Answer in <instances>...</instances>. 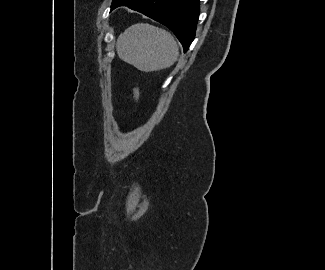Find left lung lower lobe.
Returning a JSON list of instances; mask_svg holds the SVG:
<instances>
[{
  "label": "left lung lower lobe",
  "instance_id": "1",
  "mask_svg": "<svg viewBox=\"0 0 325 270\" xmlns=\"http://www.w3.org/2000/svg\"><path fill=\"white\" fill-rule=\"evenodd\" d=\"M118 6H128L167 26L184 51L189 49L195 36L199 0H120L111 9Z\"/></svg>",
  "mask_w": 325,
  "mask_h": 270
}]
</instances>
